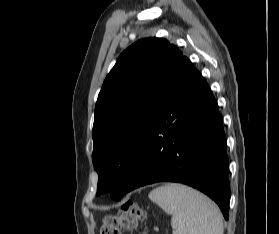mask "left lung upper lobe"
<instances>
[{
  "mask_svg": "<svg viewBox=\"0 0 279 234\" xmlns=\"http://www.w3.org/2000/svg\"><path fill=\"white\" fill-rule=\"evenodd\" d=\"M182 52L163 38L127 48L107 75L95 106L92 160L97 195L121 199L138 163L151 121Z\"/></svg>",
  "mask_w": 279,
  "mask_h": 234,
  "instance_id": "5c2ea615",
  "label": "left lung upper lobe"
}]
</instances>
